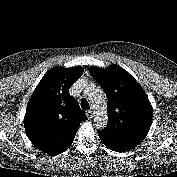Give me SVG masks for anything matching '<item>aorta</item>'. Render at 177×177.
<instances>
[{
    "label": "aorta",
    "mask_w": 177,
    "mask_h": 177,
    "mask_svg": "<svg viewBox=\"0 0 177 177\" xmlns=\"http://www.w3.org/2000/svg\"><path fill=\"white\" fill-rule=\"evenodd\" d=\"M94 91L89 94V99L93 107L98 110L99 122L97 121V125L104 126L107 124V116L105 115V109L107 106L106 98L104 94L97 90L93 89Z\"/></svg>",
    "instance_id": "aorta-1"
}]
</instances>
